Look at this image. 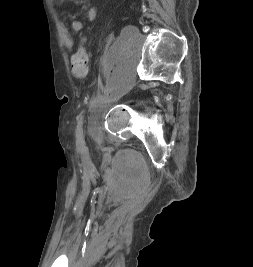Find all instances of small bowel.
<instances>
[{
    "label": "small bowel",
    "instance_id": "obj_1",
    "mask_svg": "<svg viewBox=\"0 0 253 267\" xmlns=\"http://www.w3.org/2000/svg\"><path fill=\"white\" fill-rule=\"evenodd\" d=\"M59 1H62V0H59ZM96 16H97L96 9L94 7H88L86 10L87 19L89 21H93L95 20ZM70 27L75 33H81L84 30V24L81 21L76 20V19L71 21ZM60 33H61V38H62L64 45L68 49H72L74 46V40L72 38V35L69 29L63 22H61L60 24Z\"/></svg>",
    "mask_w": 253,
    "mask_h": 267
}]
</instances>
